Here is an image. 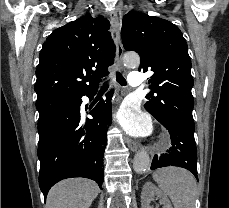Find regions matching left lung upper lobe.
<instances>
[{"instance_id":"left-lung-upper-lobe-1","label":"left lung upper lobe","mask_w":229,"mask_h":208,"mask_svg":"<svg viewBox=\"0 0 229 208\" xmlns=\"http://www.w3.org/2000/svg\"><path fill=\"white\" fill-rule=\"evenodd\" d=\"M121 35L125 50L140 55L139 71L154 72L147 111L156 119L194 127L192 64L180 29L165 19L131 11L123 17Z\"/></svg>"}]
</instances>
